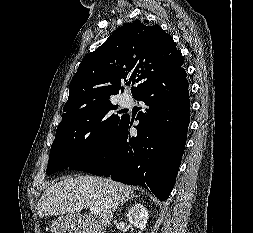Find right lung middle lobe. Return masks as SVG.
<instances>
[{"mask_svg": "<svg viewBox=\"0 0 253 233\" xmlns=\"http://www.w3.org/2000/svg\"><path fill=\"white\" fill-rule=\"evenodd\" d=\"M109 100L91 105L62 118L52 144L47 175L91 158L109 142L125 115Z\"/></svg>", "mask_w": 253, "mask_h": 233, "instance_id": "dd1d6c3e", "label": "right lung middle lobe"}]
</instances>
